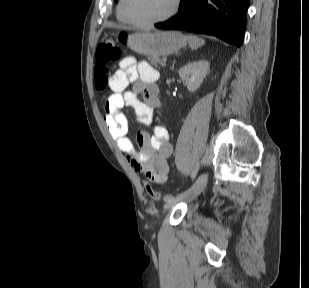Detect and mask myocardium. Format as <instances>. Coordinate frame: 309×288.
Wrapping results in <instances>:
<instances>
[{
	"mask_svg": "<svg viewBox=\"0 0 309 288\" xmlns=\"http://www.w3.org/2000/svg\"><path fill=\"white\" fill-rule=\"evenodd\" d=\"M121 12H122V15L125 19V21L136 27V28H147V27H152V26H155V25H158V24H161L169 19H171L172 17H174L179 9H180V6H181V0H173V5H172V8L171 10L166 13L165 15L157 18V19H154V20H150V21H137L135 19H133L129 13H128V10H127V2L128 0H121Z\"/></svg>",
	"mask_w": 309,
	"mask_h": 288,
	"instance_id": "f54148a6",
	"label": "myocardium"
}]
</instances>
